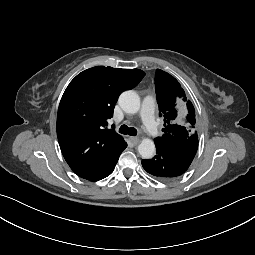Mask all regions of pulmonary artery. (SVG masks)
Wrapping results in <instances>:
<instances>
[{
    "label": "pulmonary artery",
    "instance_id": "obj_1",
    "mask_svg": "<svg viewBox=\"0 0 255 255\" xmlns=\"http://www.w3.org/2000/svg\"><path fill=\"white\" fill-rule=\"evenodd\" d=\"M140 117L148 133L152 136L157 135L158 130L154 118V101L151 97H146L143 100Z\"/></svg>",
    "mask_w": 255,
    "mask_h": 255
}]
</instances>
